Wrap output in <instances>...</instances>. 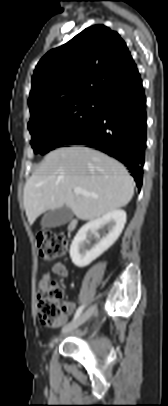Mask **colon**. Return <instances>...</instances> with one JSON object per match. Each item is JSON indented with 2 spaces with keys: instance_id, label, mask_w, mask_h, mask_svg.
<instances>
[{
  "instance_id": "5ec220e1",
  "label": "colon",
  "mask_w": 168,
  "mask_h": 406,
  "mask_svg": "<svg viewBox=\"0 0 168 406\" xmlns=\"http://www.w3.org/2000/svg\"><path fill=\"white\" fill-rule=\"evenodd\" d=\"M38 255L43 261H51L65 255L68 251L67 241L57 233L40 231L35 235ZM64 291L55 281H46L39 289L37 310L40 321L47 326H56L62 318L59 301Z\"/></svg>"
}]
</instances>
